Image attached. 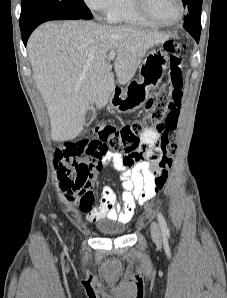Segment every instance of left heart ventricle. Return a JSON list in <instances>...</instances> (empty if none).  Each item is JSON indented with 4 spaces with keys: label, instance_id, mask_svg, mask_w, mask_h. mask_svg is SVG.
<instances>
[{
    "label": "left heart ventricle",
    "instance_id": "1",
    "mask_svg": "<svg viewBox=\"0 0 227 298\" xmlns=\"http://www.w3.org/2000/svg\"><path fill=\"white\" fill-rule=\"evenodd\" d=\"M151 14L160 21L170 22L179 14L177 0H148Z\"/></svg>",
    "mask_w": 227,
    "mask_h": 298
}]
</instances>
